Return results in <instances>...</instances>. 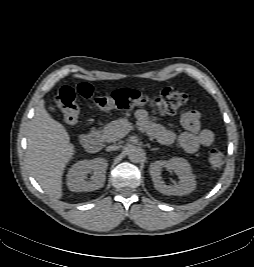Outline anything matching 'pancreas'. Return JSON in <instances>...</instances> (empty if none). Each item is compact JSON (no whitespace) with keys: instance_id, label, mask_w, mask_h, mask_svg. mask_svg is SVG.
Listing matches in <instances>:
<instances>
[{"instance_id":"1","label":"pancreas","mask_w":254,"mask_h":267,"mask_svg":"<svg viewBox=\"0 0 254 267\" xmlns=\"http://www.w3.org/2000/svg\"><path fill=\"white\" fill-rule=\"evenodd\" d=\"M128 127V121L126 119H118L108 123L99 134L102 141L105 142H116L123 135V129Z\"/></svg>"}]
</instances>
